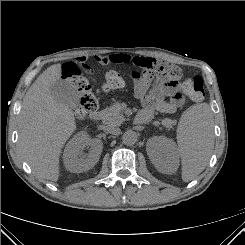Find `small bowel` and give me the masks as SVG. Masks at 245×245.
Listing matches in <instances>:
<instances>
[{"instance_id":"obj_1","label":"small bowel","mask_w":245,"mask_h":245,"mask_svg":"<svg viewBox=\"0 0 245 245\" xmlns=\"http://www.w3.org/2000/svg\"><path fill=\"white\" fill-rule=\"evenodd\" d=\"M82 63L86 58H80ZM100 64H129L133 67L134 93L143 109L140 115L149 121L155 112L175 113L183 104L184 97L178 90L177 83L165 78H158L152 85L155 60L143 56L128 54H108L96 56ZM152 85V86H151Z\"/></svg>"}]
</instances>
